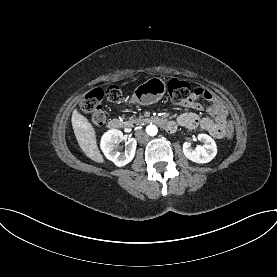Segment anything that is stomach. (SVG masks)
I'll use <instances>...</instances> for the list:
<instances>
[{
    "label": "stomach",
    "mask_w": 277,
    "mask_h": 277,
    "mask_svg": "<svg viewBox=\"0 0 277 277\" xmlns=\"http://www.w3.org/2000/svg\"><path fill=\"white\" fill-rule=\"evenodd\" d=\"M166 92V83L160 77H152L138 85L130 102L140 105H150L158 102Z\"/></svg>",
    "instance_id": "0dacf381"
}]
</instances>
